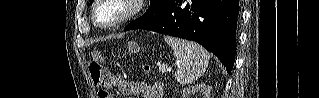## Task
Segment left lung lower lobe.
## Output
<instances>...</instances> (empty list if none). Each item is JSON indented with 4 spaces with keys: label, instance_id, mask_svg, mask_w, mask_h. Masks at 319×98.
<instances>
[{
    "label": "left lung lower lobe",
    "instance_id": "1",
    "mask_svg": "<svg viewBox=\"0 0 319 98\" xmlns=\"http://www.w3.org/2000/svg\"><path fill=\"white\" fill-rule=\"evenodd\" d=\"M163 13L139 28L193 40L215 54L230 74L235 60L239 0H164Z\"/></svg>",
    "mask_w": 319,
    "mask_h": 98
}]
</instances>
